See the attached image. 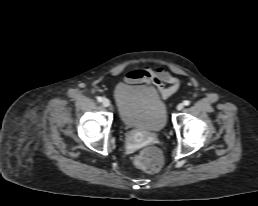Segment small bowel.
Returning <instances> with one entry per match:
<instances>
[{
	"mask_svg": "<svg viewBox=\"0 0 258 206\" xmlns=\"http://www.w3.org/2000/svg\"><path fill=\"white\" fill-rule=\"evenodd\" d=\"M125 82L130 84H145L147 86L154 85L157 87L162 99H167L174 95L181 87V81L163 67H144L130 71L125 77ZM165 83L170 86L165 87Z\"/></svg>",
	"mask_w": 258,
	"mask_h": 206,
	"instance_id": "small-bowel-1",
	"label": "small bowel"
}]
</instances>
